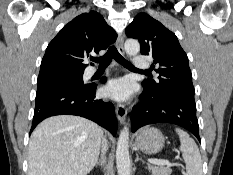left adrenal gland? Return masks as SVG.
<instances>
[{
	"instance_id": "left-adrenal-gland-1",
	"label": "left adrenal gland",
	"mask_w": 233,
	"mask_h": 175,
	"mask_svg": "<svg viewBox=\"0 0 233 175\" xmlns=\"http://www.w3.org/2000/svg\"><path fill=\"white\" fill-rule=\"evenodd\" d=\"M139 160H140L142 163H144V161L142 160V158H139L138 154H136L135 162H137V161H139Z\"/></svg>"
}]
</instances>
